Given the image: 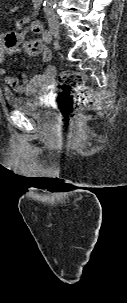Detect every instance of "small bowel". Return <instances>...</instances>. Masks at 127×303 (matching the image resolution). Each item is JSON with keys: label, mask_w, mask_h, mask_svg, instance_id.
<instances>
[{"label": "small bowel", "mask_w": 127, "mask_h": 303, "mask_svg": "<svg viewBox=\"0 0 127 303\" xmlns=\"http://www.w3.org/2000/svg\"><path fill=\"white\" fill-rule=\"evenodd\" d=\"M32 3L36 7L39 4V0H32ZM26 25L34 34L39 36L32 40H24V31L22 29ZM14 26V30L0 35V75L4 83L16 93L25 94H34L40 87L51 88L55 75L53 66H48L44 72L37 73L32 79H28L24 74L22 83L14 75L8 74L2 66L7 57L15 56L19 46L29 56H40L44 62H49L52 58V53L43 40L44 28L41 22L34 20L32 17H26L16 20ZM12 39L15 41H12Z\"/></svg>", "instance_id": "small-bowel-1"}]
</instances>
